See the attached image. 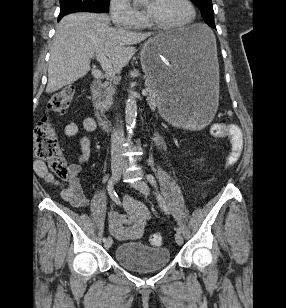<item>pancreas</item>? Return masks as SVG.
Listing matches in <instances>:
<instances>
[{
  "label": "pancreas",
  "mask_w": 286,
  "mask_h": 308,
  "mask_svg": "<svg viewBox=\"0 0 286 308\" xmlns=\"http://www.w3.org/2000/svg\"><path fill=\"white\" fill-rule=\"evenodd\" d=\"M147 89L149 90L147 98L148 104L152 108L159 106L155 89L149 83H147ZM114 93H115L114 87L109 86L108 88H106L104 92L98 95L97 101L95 102V107L100 109L101 111L109 109L113 104L112 96L114 95Z\"/></svg>",
  "instance_id": "pancreas-1"
}]
</instances>
